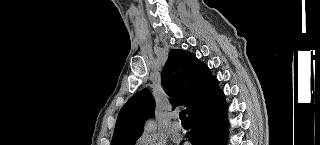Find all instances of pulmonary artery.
Masks as SVG:
<instances>
[{
	"mask_svg": "<svg viewBox=\"0 0 320 145\" xmlns=\"http://www.w3.org/2000/svg\"><path fill=\"white\" fill-rule=\"evenodd\" d=\"M177 117H178L177 114H174V115H173L174 120L172 121V123H171V125H170V127H171V129H172L173 131H180V130L182 129L181 123L176 120Z\"/></svg>",
	"mask_w": 320,
	"mask_h": 145,
	"instance_id": "e3ab8cb5",
	"label": "pulmonary artery"
}]
</instances>
